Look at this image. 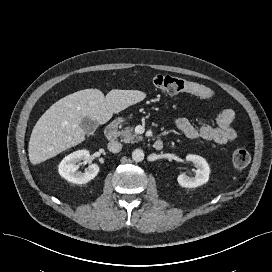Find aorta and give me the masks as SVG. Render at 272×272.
I'll list each match as a JSON object with an SVG mask.
<instances>
[{
  "label": "aorta",
  "mask_w": 272,
  "mask_h": 272,
  "mask_svg": "<svg viewBox=\"0 0 272 272\" xmlns=\"http://www.w3.org/2000/svg\"><path fill=\"white\" fill-rule=\"evenodd\" d=\"M132 159L135 162H141V161H143V159H144V152H143V150H141V149H135L132 152Z\"/></svg>",
  "instance_id": "obj_1"
}]
</instances>
